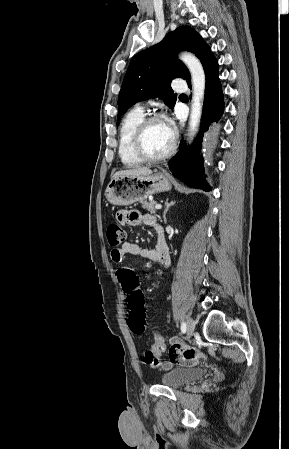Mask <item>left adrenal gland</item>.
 <instances>
[{"label":"left adrenal gland","mask_w":289,"mask_h":449,"mask_svg":"<svg viewBox=\"0 0 289 449\" xmlns=\"http://www.w3.org/2000/svg\"><path fill=\"white\" fill-rule=\"evenodd\" d=\"M168 200H169V199H167V200L165 201V210H164V213H163V219H164V222H165V223H166V213H167V211L169 210V208H170L171 206H173V205L175 204V202L169 203Z\"/></svg>","instance_id":"a2214340"}]
</instances>
